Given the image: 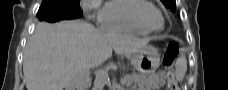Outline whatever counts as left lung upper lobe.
<instances>
[{"instance_id":"5c2ea615","label":"left lung upper lobe","mask_w":228,"mask_h":90,"mask_svg":"<svg viewBox=\"0 0 228 90\" xmlns=\"http://www.w3.org/2000/svg\"><path fill=\"white\" fill-rule=\"evenodd\" d=\"M166 7L175 8V0H162Z\"/></svg>"}]
</instances>
